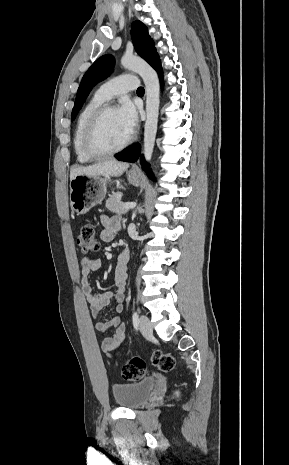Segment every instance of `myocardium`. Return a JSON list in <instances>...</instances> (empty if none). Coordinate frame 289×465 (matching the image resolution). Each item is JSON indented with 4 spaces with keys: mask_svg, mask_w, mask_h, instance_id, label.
Instances as JSON below:
<instances>
[{
    "mask_svg": "<svg viewBox=\"0 0 289 465\" xmlns=\"http://www.w3.org/2000/svg\"><path fill=\"white\" fill-rule=\"evenodd\" d=\"M114 109L115 107L112 105L103 104L92 113L86 123L83 135V146L86 153L92 157L98 158L114 155L128 147L132 141V137L129 136L122 144L113 148H105L100 145L98 140L100 123L105 114Z\"/></svg>",
    "mask_w": 289,
    "mask_h": 465,
    "instance_id": "1",
    "label": "myocardium"
}]
</instances>
